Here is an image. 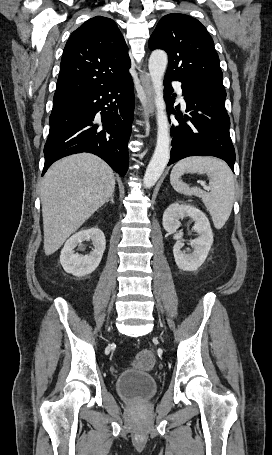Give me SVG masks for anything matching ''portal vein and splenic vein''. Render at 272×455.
Returning <instances> with one entry per match:
<instances>
[{
    "label": "portal vein and splenic vein",
    "instance_id": "1",
    "mask_svg": "<svg viewBox=\"0 0 272 455\" xmlns=\"http://www.w3.org/2000/svg\"><path fill=\"white\" fill-rule=\"evenodd\" d=\"M200 184H201V186H202L204 189H209V188L206 186L205 182L201 181Z\"/></svg>",
    "mask_w": 272,
    "mask_h": 455
}]
</instances>
